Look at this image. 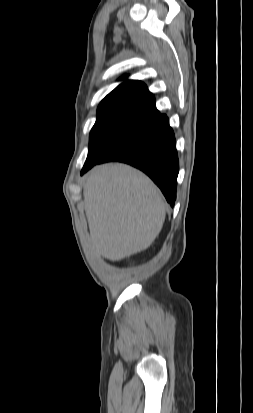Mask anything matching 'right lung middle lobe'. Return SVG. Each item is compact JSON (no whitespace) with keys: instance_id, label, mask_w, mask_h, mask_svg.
Listing matches in <instances>:
<instances>
[{"instance_id":"obj_1","label":"right lung middle lobe","mask_w":253,"mask_h":413,"mask_svg":"<svg viewBox=\"0 0 253 413\" xmlns=\"http://www.w3.org/2000/svg\"><path fill=\"white\" fill-rule=\"evenodd\" d=\"M163 121L132 111L98 113L89 138V152L82 170L89 169L129 142L145 135Z\"/></svg>"}]
</instances>
